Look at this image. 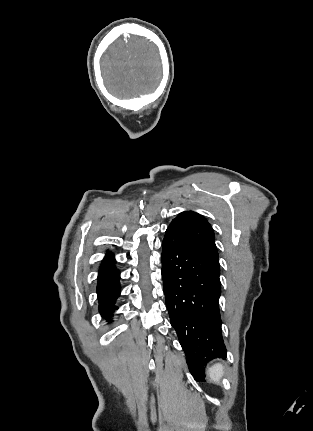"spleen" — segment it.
Masks as SVG:
<instances>
[{
    "mask_svg": "<svg viewBox=\"0 0 313 431\" xmlns=\"http://www.w3.org/2000/svg\"><path fill=\"white\" fill-rule=\"evenodd\" d=\"M207 373L213 382L219 384L224 375V366L221 363H216L207 369Z\"/></svg>",
    "mask_w": 313,
    "mask_h": 431,
    "instance_id": "obj_1",
    "label": "spleen"
}]
</instances>
